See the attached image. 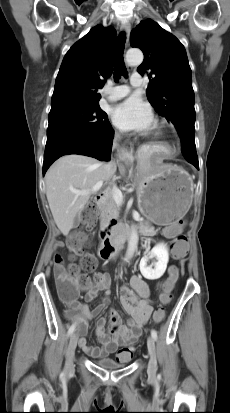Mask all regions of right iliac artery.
I'll use <instances>...</instances> for the list:
<instances>
[{
	"label": "right iliac artery",
	"mask_w": 230,
	"mask_h": 413,
	"mask_svg": "<svg viewBox=\"0 0 230 413\" xmlns=\"http://www.w3.org/2000/svg\"><path fill=\"white\" fill-rule=\"evenodd\" d=\"M75 330V324H72L68 330V335H71Z\"/></svg>",
	"instance_id": "right-iliac-artery-1"
}]
</instances>
